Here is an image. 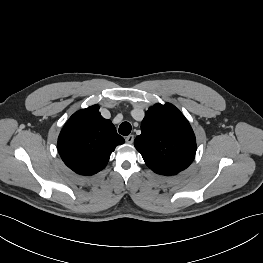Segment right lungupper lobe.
<instances>
[{
  "mask_svg": "<svg viewBox=\"0 0 263 263\" xmlns=\"http://www.w3.org/2000/svg\"><path fill=\"white\" fill-rule=\"evenodd\" d=\"M123 143L112 122L93 105L69 118L58 137V151L74 172L93 175L105 168L115 147Z\"/></svg>",
  "mask_w": 263,
  "mask_h": 263,
  "instance_id": "obj_1",
  "label": "right lung upper lobe"
}]
</instances>
